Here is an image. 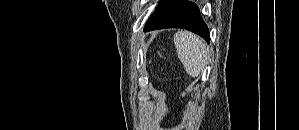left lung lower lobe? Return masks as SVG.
<instances>
[{
    "label": "left lung lower lobe",
    "instance_id": "1",
    "mask_svg": "<svg viewBox=\"0 0 299 130\" xmlns=\"http://www.w3.org/2000/svg\"><path fill=\"white\" fill-rule=\"evenodd\" d=\"M163 28H182L192 31L209 43V29L199 8L186 0H162L147 21L144 31Z\"/></svg>",
    "mask_w": 299,
    "mask_h": 130
}]
</instances>
